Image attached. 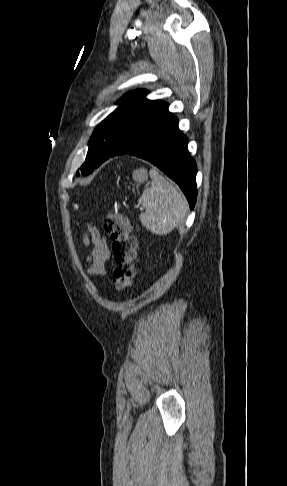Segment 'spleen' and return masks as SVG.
Here are the masks:
<instances>
[{
  "label": "spleen",
  "mask_w": 287,
  "mask_h": 486,
  "mask_svg": "<svg viewBox=\"0 0 287 486\" xmlns=\"http://www.w3.org/2000/svg\"><path fill=\"white\" fill-rule=\"evenodd\" d=\"M151 187L143 191L138 203L145 208L139 215L142 225L156 235H167L184 219L187 201L157 170L150 171Z\"/></svg>",
  "instance_id": "spleen-1"
}]
</instances>
